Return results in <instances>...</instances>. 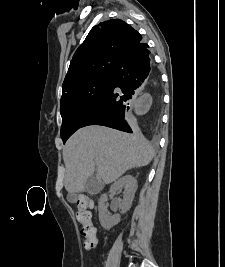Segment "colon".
Segmentation results:
<instances>
[{"label": "colon", "instance_id": "1", "mask_svg": "<svg viewBox=\"0 0 225 267\" xmlns=\"http://www.w3.org/2000/svg\"><path fill=\"white\" fill-rule=\"evenodd\" d=\"M77 219L82 224L81 235L83 237L84 246L92 249L96 245V227L92 222V215L90 208L92 201L87 196H81L77 200Z\"/></svg>", "mask_w": 225, "mask_h": 267}]
</instances>
